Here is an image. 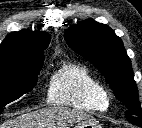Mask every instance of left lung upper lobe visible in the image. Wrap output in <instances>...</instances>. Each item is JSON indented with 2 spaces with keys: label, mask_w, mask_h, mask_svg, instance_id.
Listing matches in <instances>:
<instances>
[{
  "label": "left lung upper lobe",
  "mask_w": 142,
  "mask_h": 128,
  "mask_svg": "<svg viewBox=\"0 0 142 128\" xmlns=\"http://www.w3.org/2000/svg\"><path fill=\"white\" fill-rule=\"evenodd\" d=\"M67 44L104 75L116 98L126 107L127 120L142 127L134 74L122 40L107 25L85 20L64 34Z\"/></svg>",
  "instance_id": "left-lung-upper-lobe-1"
}]
</instances>
